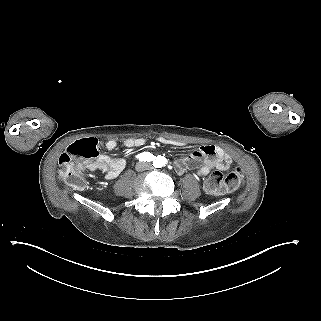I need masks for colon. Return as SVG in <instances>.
<instances>
[{"mask_svg": "<svg viewBox=\"0 0 321 321\" xmlns=\"http://www.w3.org/2000/svg\"><path fill=\"white\" fill-rule=\"evenodd\" d=\"M99 144L95 139H86L71 144L59 158L57 177L65 185L80 190L86 186V178L76 163L78 159H94L99 155ZM243 182V172L236 167L228 174L214 171L205 181L207 192L215 195L235 192Z\"/></svg>", "mask_w": 321, "mask_h": 321, "instance_id": "obj_1", "label": "colon"}]
</instances>
